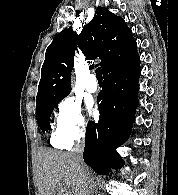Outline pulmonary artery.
I'll return each instance as SVG.
<instances>
[{"label":"pulmonary artery","mask_w":178,"mask_h":195,"mask_svg":"<svg viewBox=\"0 0 178 195\" xmlns=\"http://www.w3.org/2000/svg\"><path fill=\"white\" fill-rule=\"evenodd\" d=\"M86 90L90 93H95L98 90V83L95 74H90L86 80Z\"/></svg>","instance_id":"obj_1"}]
</instances>
